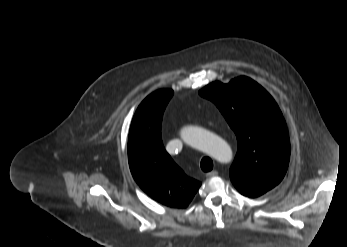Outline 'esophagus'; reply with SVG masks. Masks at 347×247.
<instances>
[{
  "label": "esophagus",
  "instance_id": "34e87169",
  "mask_svg": "<svg viewBox=\"0 0 347 247\" xmlns=\"http://www.w3.org/2000/svg\"><path fill=\"white\" fill-rule=\"evenodd\" d=\"M217 175H218V172L216 170L206 173V177H215Z\"/></svg>",
  "mask_w": 347,
  "mask_h": 247
}]
</instances>
